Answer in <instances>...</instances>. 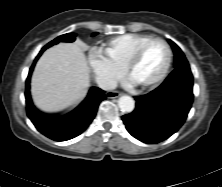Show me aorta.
Masks as SVG:
<instances>
[{
  "label": "aorta",
  "mask_w": 222,
  "mask_h": 187,
  "mask_svg": "<svg viewBox=\"0 0 222 187\" xmlns=\"http://www.w3.org/2000/svg\"><path fill=\"white\" fill-rule=\"evenodd\" d=\"M118 105L123 112L130 113L135 107V102L132 97L124 95L119 98Z\"/></svg>",
  "instance_id": "1"
}]
</instances>
